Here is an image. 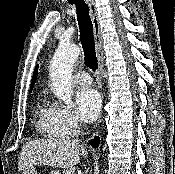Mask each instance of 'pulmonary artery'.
Masks as SVG:
<instances>
[{"instance_id": "obj_1", "label": "pulmonary artery", "mask_w": 175, "mask_h": 174, "mask_svg": "<svg viewBox=\"0 0 175 174\" xmlns=\"http://www.w3.org/2000/svg\"><path fill=\"white\" fill-rule=\"evenodd\" d=\"M74 80L77 85L82 86V87H86L91 84V77L85 71H80L76 73Z\"/></svg>"}]
</instances>
